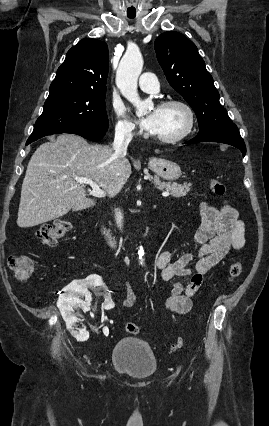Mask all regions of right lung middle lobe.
I'll list each match as a JSON object with an SVG mask.
<instances>
[{
    "instance_id": "right-lung-middle-lobe-1",
    "label": "right lung middle lobe",
    "mask_w": 269,
    "mask_h": 426,
    "mask_svg": "<svg viewBox=\"0 0 269 426\" xmlns=\"http://www.w3.org/2000/svg\"><path fill=\"white\" fill-rule=\"evenodd\" d=\"M105 95L88 92L49 93L43 113L28 140L74 131L83 127L107 130Z\"/></svg>"
}]
</instances>
